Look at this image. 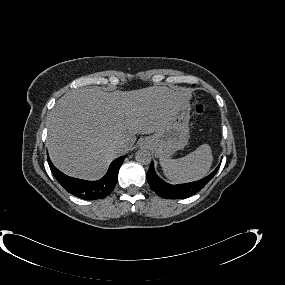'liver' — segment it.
<instances>
[{
    "label": "liver",
    "mask_w": 285,
    "mask_h": 285,
    "mask_svg": "<svg viewBox=\"0 0 285 285\" xmlns=\"http://www.w3.org/2000/svg\"><path fill=\"white\" fill-rule=\"evenodd\" d=\"M189 100L165 86L111 93L99 87L71 90L47 119L50 158L68 175L98 179L117 153L133 147L136 134L158 131Z\"/></svg>",
    "instance_id": "6515ba94"
}]
</instances>
